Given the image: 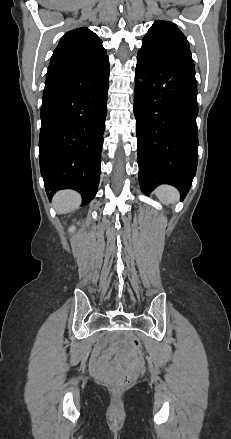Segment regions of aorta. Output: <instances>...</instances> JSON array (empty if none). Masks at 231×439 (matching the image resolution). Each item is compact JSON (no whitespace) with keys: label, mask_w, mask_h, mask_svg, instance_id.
<instances>
[{"label":"aorta","mask_w":231,"mask_h":439,"mask_svg":"<svg viewBox=\"0 0 231 439\" xmlns=\"http://www.w3.org/2000/svg\"><path fill=\"white\" fill-rule=\"evenodd\" d=\"M140 82H142V80H140ZM140 88H142L141 84H140Z\"/></svg>","instance_id":"obj_1"}]
</instances>
